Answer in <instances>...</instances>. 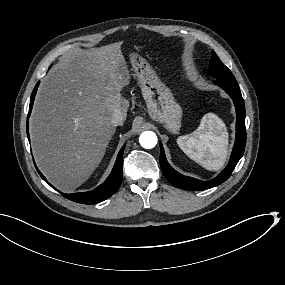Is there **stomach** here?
I'll return each instance as SVG.
<instances>
[{"label":"stomach","instance_id":"1","mask_svg":"<svg viewBox=\"0 0 285 285\" xmlns=\"http://www.w3.org/2000/svg\"><path fill=\"white\" fill-rule=\"evenodd\" d=\"M130 61L150 117L162 123L171 133H177L181 127L182 108L170 88L160 80L146 59L131 53Z\"/></svg>","mask_w":285,"mask_h":285}]
</instances>
